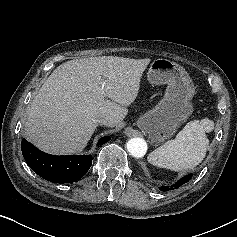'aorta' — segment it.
Here are the masks:
<instances>
[{
  "mask_svg": "<svg viewBox=\"0 0 237 237\" xmlns=\"http://www.w3.org/2000/svg\"><path fill=\"white\" fill-rule=\"evenodd\" d=\"M127 151L133 157H142L147 151V143L142 138H132L126 143Z\"/></svg>",
  "mask_w": 237,
  "mask_h": 237,
  "instance_id": "1",
  "label": "aorta"
}]
</instances>
